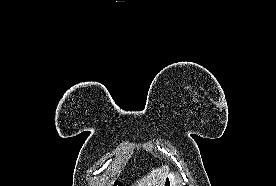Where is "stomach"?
<instances>
[{"instance_id": "1", "label": "stomach", "mask_w": 276, "mask_h": 186, "mask_svg": "<svg viewBox=\"0 0 276 186\" xmlns=\"http://www.w3.org/2000/svg\"><path fill=\"white\" fill-rule=\"evenodd\" d=\"M162 186H180L179 180L174 172L168 170L165 173Z\"/></svg>"}]
</instances>
